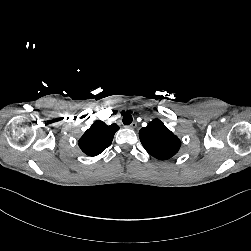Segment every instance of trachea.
I'll return each instance as SVG.
<instances>
[{"instance_id":"3493384b","label":"trachea","mask_w":251,"mask_h":251,"mask_svg":"<svg viewBox=\"0 0 251 251\" xmlns=\"http://www.w3.org/2000/svg\"><path fill=\"white\" fill-rule=\"evenodd\" d=\"M123 124L124 125H129V124H131L132 123V121H133V118H132V116H131V114L130 113H126L124 116H123Z\"/></svg>"}]
</instances>
